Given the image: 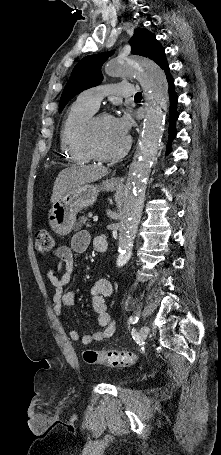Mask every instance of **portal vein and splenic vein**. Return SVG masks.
Segmentation results:
<instances>
[{"mask_svg":"<svg viewBox=\"0 0 221 455\" xmlns=\"http://www.w3.org/2000/svg\"><path fill=\"white\" fill-rule=\"evenodd\" d=\"M93 220H94V222H97L98 221V216H94Z\"/></svg>","mask_w":221,"mask_h":455,"instance_id":"portal-vein-and-splenic-vein-1","label":"portal vein and splenic vein"}]
</instances>
